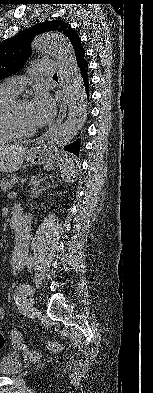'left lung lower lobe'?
<instances>
[{
	"instance_id": "left-lung-lower-lobe-1",
	"label": "left lung lower lobe",
	"mask_w": 153,
	"mask_h": 393,
	"mask_svg": "<svg viewBox=\"0 0 153 393\" xmlns=\"http://www.w3.org/2000/svg\"><path fill=\"white\" fill-rule=\"evenodd\" d=\"M76 60H77V64L80 70V74L84 83V88L85 91L87 93V97L89 98V82H88V64L87 61L85 59V52L79 53L77 55H75ZM79 147H80V140H77L76 142L67 145L65 147V150L74 153L75 155H79Z\"/></svg>"
}]
</instances>
